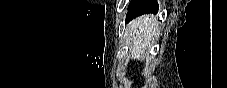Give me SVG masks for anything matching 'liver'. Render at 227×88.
Instances as JSON below:
<instances>
[{
  "label": "liver",
  "instance_id": "liver-1",
  "mask_svg": "<svg viewBox=\"0 0 227 88\" xmlns=\"http://www.w3.org/2000/svg\"><path fill=\"white\" fill-rule=\"evenodd\" d=\"M132 58L144 59L151 41L158 34V22L154 15H144L132 20L126 28Z\"/></svg>",
  "mask_w": 227,
  "mask_h": 88
}]
</instances>
